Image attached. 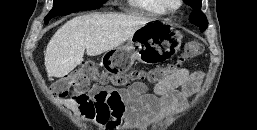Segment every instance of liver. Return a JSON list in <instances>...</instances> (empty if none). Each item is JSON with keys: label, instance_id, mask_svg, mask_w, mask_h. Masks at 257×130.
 I'll use <instances>...</instances> for the list:
<instances>
[{"label": "liver", "instance_id": "6515ba94", "mask_svg": "<svg viewBox=\"0 0 257 130\" xmlns=\"http://www.w3.org/2000/svg\"><path fill=\"white\" fill-rule=\"evenodd\" d=\"M153 21L127 14H89L67 21L52 36L44 52L49 77L61 78L83 62L84 52L97 56L121 46Z\"/></svg>", "mask_w": 257, "mask_h": 130}]
</instances>
